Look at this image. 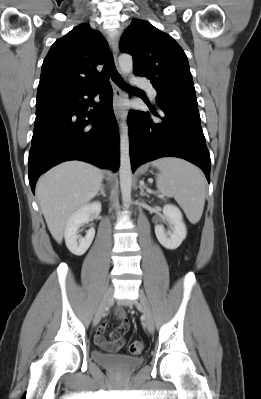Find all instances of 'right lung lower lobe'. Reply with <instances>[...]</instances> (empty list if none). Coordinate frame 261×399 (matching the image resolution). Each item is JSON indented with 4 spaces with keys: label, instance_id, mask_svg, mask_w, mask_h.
Masks as SVG:
<instances>
[{
    "label": "right lung lower lobe",
    "instance_id": "1",
    "mask_svg": "<svg viewBox=\"0 0 261 399\" xmlns=\"http://www.w3.org/2000/svg\"><path fill=\"white\" fill-rule=\"evenodd\" d=\"M80 90L36 104V119L29 152V183L34 193L41 174L66 160H83L117 171L119 168L118 127L112 108V88L107 82L100 91V103L86 109Z\"/></svg>",
    "mask_w": 261,
    "mask_h": 399
}]
</instances>
